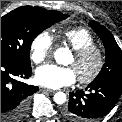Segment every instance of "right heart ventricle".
Masks as SVG:
<instances>
[{"instance_id": "right-heart-ventricle-1", "label": "right heart ventricle", "mask_w": 122, "mask_h": 122, "mask_svg": "<svg viewBox=\"0 0 122 122\" xmlns=\"http://www.w3.org/2000/svg\"><path fill=\"white\" fill-rule=\"evenodd\" d=\"M58 36L63 43L70 46L73 50L95 45L96 43L93 34L88 29L82 27L60 32Z\"/></svg>"}]
</instances>
